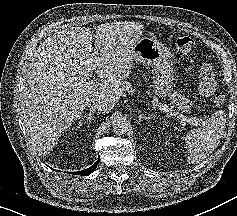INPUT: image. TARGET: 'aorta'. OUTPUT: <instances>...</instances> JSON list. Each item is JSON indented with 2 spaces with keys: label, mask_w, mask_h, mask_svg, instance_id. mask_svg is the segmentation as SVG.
Listing matches in <instances>:
<instances>
[{
  "label": "aorta",
  "mask_w": 237,
  "mask_h": 216,
  "mask_svg": "<svg viewBox=\"0 0 237 216\" xmlns=\"http://www.w3.org/2000/svg\"><path fill=\"white\" fill-rule=\"evenodd\" d=\"M128 129V123L122 116L114 117L112 121V130L115 134H125Z\"/></svg>",
  "instance_id": "aorta-1"
}]
</instances>
